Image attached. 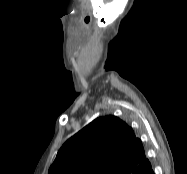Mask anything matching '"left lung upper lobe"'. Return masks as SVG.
<instances>
[{
    "instance_id": "left-lung-upper-lobe-1",
    "label": "left lung upper lobe",
    "mask_w": 187,
    "mask_h": 174,
    "mask_svg": "<svg viewBox=\"0 0 187 174\" xmlns=\"http://www.w3.org/2000/svg\"><path fill=\"white\" fill-rule=\"evenodd\" d=\"M140 139L115 116L95 119L67 140L48 174H142L149 167Z\"/></svg>"
}]
</instances>
